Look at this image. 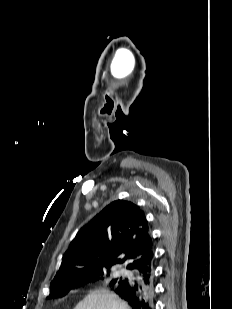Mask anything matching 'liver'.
<instances>
[{
    "label": "liver",
    "mask_w": 232,
    "mask_h": 309,
    "mask_svg": "<svg viewBox=\"0 0 232 309\" xmlns=\"http://www.w3.org/2000/svg\"><path fill=\"white\" fill-rule=\"evenodd\" d=\"M74 309H131L115 293L105 289L90 292Z\"/></svg>",
    "instance_id": "6515ba94"
}]
</instances>
